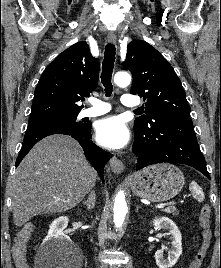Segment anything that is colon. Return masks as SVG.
Instances as JSON below:
<instances>
[{"label":"colon","mask_w":221,"mask_h":268,"mask_svg":"<svg viewBox=\"0 0 221 268\" xmlns=\"http://www.w3.org/2000/svg\"><path fill=\"white\" fill-rule=\"evenodd\" d=\"M199 224L202 229V244L188 268H201L211 245V208L208 205H204L200 211ZM33 233L34 227L32 225H26L16 238L13 257L17 268H30L27 263L26 252Z\"/></svg>","instance_id":"obj_1"}]
</instances>
